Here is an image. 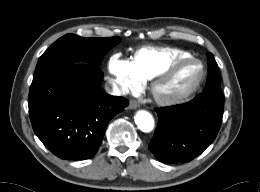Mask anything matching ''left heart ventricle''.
Here are the masks:
<instances>
[{"label":"left heart ventricle","instance_id":"left-heart-ventricle-1","mask_svg":"<svg viewBox=\"0 0 260 192\" xmlns=\"http://www.w3.org/2000/svg\"><path fill=\"white\" fill-rule=\"evenodd\" d=\"M199 68L189 64L178 69L171 77L156 87V94L162 97L177 94L189 87L197 78Z\"/></svg>","mask_w":260,"mask_h":192}]
</instances>
